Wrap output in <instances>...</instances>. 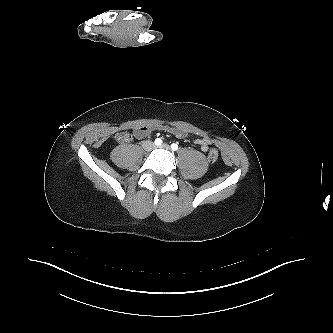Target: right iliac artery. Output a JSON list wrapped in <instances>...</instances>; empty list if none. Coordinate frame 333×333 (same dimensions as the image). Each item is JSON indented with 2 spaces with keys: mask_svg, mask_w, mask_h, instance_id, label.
<instances>
[{
  "mask_svg": "<svg viewBox=\"0 0 333 333\" xmlns=\"http://www.w3.org/2000/svg\"><path fill=\"white\" fill-rule=\"evenodd\" d=\"M155 145L160 146L162 144V140L160 138L155 139Z\"/></svg>",
  "mask_w": 333,
  "mask_h": 333,
  "instance_id": "1",
  "label": "right iliac artery"
}]
</instances>
